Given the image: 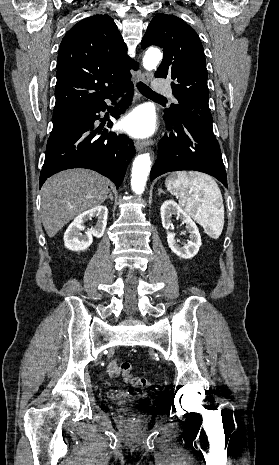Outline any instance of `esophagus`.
Returning a JSON list of instances; mask_svg holds the SVG:
<instances>
[{"instance_id": "obj_1", "label": "esophagus", "mask_w": 279, "mask_h": 465, "mask_svg": "<svg viewBox=\"0 0 279 465\" xmlns=\"http://www.w3.org/2000/svg\"><path fill=\"white\" fill-rule=\"evenodd\" d=\"M151 74L149 72H144L140 76V80L148 83L150 81ZM153 143L152 140H146V141H136L135 142V148L137 151L143 150L145 147L151 145Z\"/></svg>"}]
</instances>
